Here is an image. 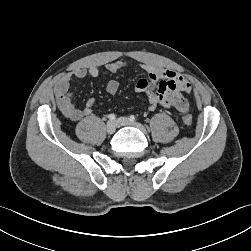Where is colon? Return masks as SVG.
<instances>
[{"instance_id": "5ec220e1", "label": "colon", "mask_w": 251, "mask_h": 251, "mask_svg": "<svg viewBox=\"0 0 251 251\" xmlns=\"http://www.w3.org/2000/svg\"><path fill=\"white\" fill-rule=\"evenodd\" d=\"M182 120H183V123L187 126H190L193 122V118L191 115L189 114H185L183 117H182Z\"/></svg>"}]
</instances>
